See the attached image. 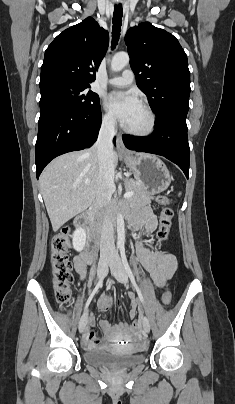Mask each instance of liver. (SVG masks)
I'll return each mask as SVG.
<instances>
[{"label":"liver","mask_w":235,"mask_h":404,"mask_svg":"<svg viewBox=\"0 0 235 404\" xmlns=\"http://www.w3.org/2000/svg\"><path fill=\"white\" fill-rule=\"evenodd\" d=\"M113 161L115 168L117 152H113ZM98 182L99 164L93 149L63 154L47 165L39 185L54 232L94 202Z\"/></svg>","instance_id":"1"}]
</instances>
